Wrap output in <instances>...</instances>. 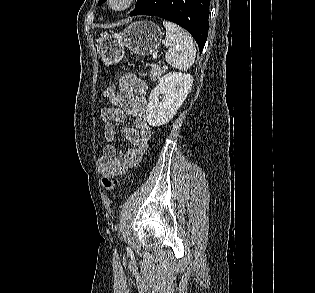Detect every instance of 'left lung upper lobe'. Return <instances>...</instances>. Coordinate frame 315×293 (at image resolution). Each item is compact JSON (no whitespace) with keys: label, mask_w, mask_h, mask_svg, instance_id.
Wrapping results in <instances>:
<instances>
[{"label":"left lung upper lobe","mask_w":315,"mask_h":293,"mask_svg":"<svg viewBox=\"0 0 315 293\" xmlns=\"http://www.w3.org/2000/svg\"><path fill=\"white\" fill-rule=\"evenodd\" d=\"M105 1H106V0H99L98 4L100 5V4L104 3ZM143 1H144V0H138L135 9H136Z\"/></svg>","instance_id":"1"}]
</instances>
